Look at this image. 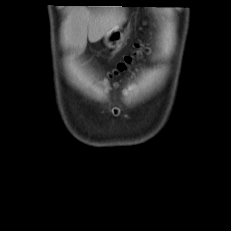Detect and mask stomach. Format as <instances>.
<instances>
[{"instance_id":"0dacf381","label":"stomach","mask_w":231,"mask_h":231,"mask_svg":"<svg viewBox=\"0 0 231 231\" xmlns=\"http://www.w3.org/2000/svg\"><path fill=\"white\" fill-rule=\"evenodd\" d=\"M119 30L113 31L111 34L105 36V42L107 44H113L114 42H118V38H121V34H118Z\"/></svg>"}]
</instances>
